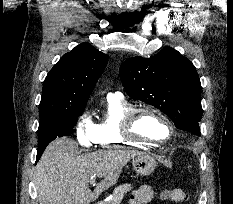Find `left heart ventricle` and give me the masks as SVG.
<instances>
[{
    "mask_svg": "<svg viewBox=\"0 0 233 204\" xmlns=\"http://www.w3.org/2000/svg\"><path fill=\"white\" fill-rule=\"evenodd\" d=\"M135 132L145 138L152 140H164L169 134L165 122L152 113H141L135 122Z\"/></svg>",
    "mask_w": 233,
    "mask_h": 204,
    "instance_id": "left-heart-ventricle-1",
    "label": "left heart ventricle"
}]
</instances>
